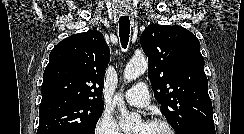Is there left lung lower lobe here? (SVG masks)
I'll use <instances>...</instances> for the list:
<instances>
[{
	"label": "left lung lower lobe",
	"mask_w": 244,
	"mask_h": 134,
	"mask_svg": "<svg viewBox=\"0 0 244 134\" xmlns=\"http://www.w3.org/2000/svg\"><path fill=\"white\" fill-rule=\"evenodd\" d=\"M182 134H216V132L213 125L198 124L189 127Z\"/></svg>",
	"instance_id": "1"
}]
</instances>
